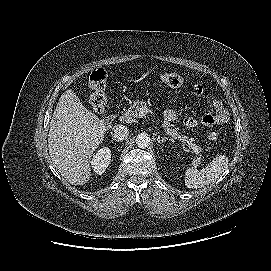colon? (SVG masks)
I'll return each mask as SVG.
<instances>
[{
	"mask_svg": "<svg viewBox=\"0 0 271 271\" xmlns=\"http://www.w3.org/2000/svg\"><path fill=\"white\" fill-rule=\"evenodd\" d=\"M160 78L164 84L172 88H179L184 84V79L178 74L165 73ZM106 80L107 74L102 69L93 72L88 79L87 85L91 91L90 105L96 113H102L107 103ZM216 136V133L210 135L212 139Z\"/></svg>",
	"mask_w": 271,
	"mask_h": 271,
	"instance_id": "5ec220e1",
	"label": "colon"
}]
</instances>
